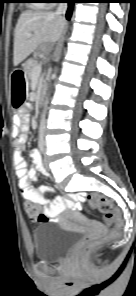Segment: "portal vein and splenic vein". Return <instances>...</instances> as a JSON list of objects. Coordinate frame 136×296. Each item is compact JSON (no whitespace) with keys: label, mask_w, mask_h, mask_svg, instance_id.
<instances>
[{"label":"portal vein and splenic vein","mask_w":136,"mask_h":296,"mask_svg":"<svg viewBox=\"0 0 136 296\" xmlns=\"http://www.w3.org/2000/svg\"><path fill=\"white\" fill-rule=\"evenodd\" d=\"M32 34L31 33H28L27 34V37H31ZM41 70H42V67L40 64H38L34 69H33V76H39L40 73H41Z\"/></svg>","instance_id":"portal-vein-and-splenic-vein-1"}]
</instances>
